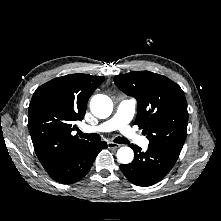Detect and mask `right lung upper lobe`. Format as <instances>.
<instances>
[{
	"label": "right lung upper lobe",
	"mask_w": 221,
	"mask_h": 221,
	"mask_svg": "<svg viewBox=\"0 0 221 221\" xmlns=\"http://www.w3.org/2000/svg\"><path fill=\"white\" fill-rule=\"evenodd\" d=\"M103 76L71 74L38 87L29 105V132L35 153L46 171L80 152L88 141L72 135L87 102Z\"/></svg>",
	"instance_id": "1"
}]
</instances>
